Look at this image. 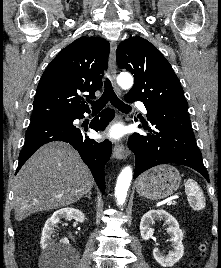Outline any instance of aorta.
Listing matches in <instances>:
<instances>
[{
  "mask_svg": "<svg viewBox=\"0 0 221 268\" xmlns=\"http://www.w3.org/2000/svg\"><path fill=\"white\" fill-rule=\"evenodd\" d=\"M117 83L125 89H129L133 86V77L128 73H121L117 77ZM132 168L126 166L120 172L117 183L115 186V197L118 205H123L125 203L127 192L132 181Z\"/></svg>",
  "mask_w": 221,
  "mask_h": 268,
  "instance_id": "aorta-1",
  "label": "aorta"
}]
</instances>
